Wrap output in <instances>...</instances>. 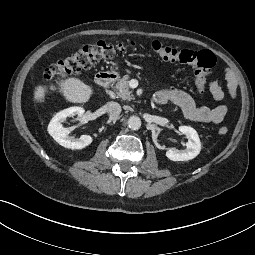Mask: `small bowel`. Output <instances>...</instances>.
<instances>
[{
    "label": "small bowel",
    "mask_w": 255,
    "mask_h": 255,
    "mask_svg": "<svg viewBox=\"0 0 255 255\" xmlns=\"http://www.w3.org/2000/svg\"><path fill=\"white\" fill-rule=\"evenodd\" d=\"M225 79L227 84L228 95L232 98L236 96L238 81L235 74L227 69L225 71ZM208 89L213 98L217 101H223L226 93L215 81L208 83ZM153 99L156 104H165L172 102L177 105L185 115V117L195 123H220L227 114V107L219 105L215 108H208L205 106H197L194 99L185 91L178 88L169 87L158 90Z\"/></svg>",
    "instance_id": "small-bowel-1"
}]
</instances>
